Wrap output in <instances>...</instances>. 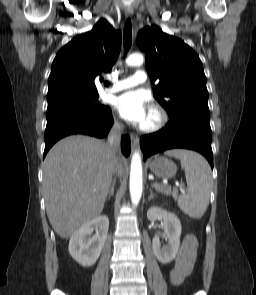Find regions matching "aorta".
Wrapping results in <instances>:
<instances>
[{
	"label": "aorta",
	"mask_w": 256,
	"mask_h": 295,
	"mask_svg": "<svg viewBox=\"0 0 256 295\" xmlns=\"http://www.w3.org/2000/svg\"><path fill=\"white\" fill-rule=\"evenodd\" d=\"M142 54L134 53L126 59L128 66H140L143 64ZM142 162L139 151H136L131 160L130 168V195L134 206H137L142 196Z\"/></svg>",
	"instance_id": "1"
}]
</instances>
